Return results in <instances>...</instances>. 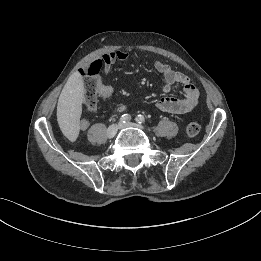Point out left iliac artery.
<instances>
[{"instance_id":"left-iliac-artery-1","label":"left iliac artery","mask_w":261,"mask_h":261,"mask_svg":"<svg viewBox=\"0 0 261 261\" xmlns=\"http://www.w3.org/2000/svg\"><path fill=\"white\" fill-rule=\"evenodd\" d=\"M136 121L141 124L145 121V118L143 115L140 114L136 117Z\"/></svg>"}]
</instances>
